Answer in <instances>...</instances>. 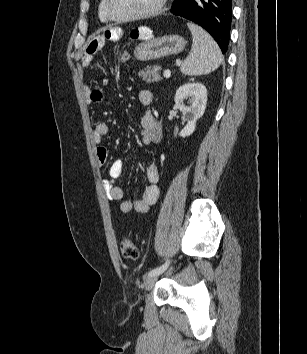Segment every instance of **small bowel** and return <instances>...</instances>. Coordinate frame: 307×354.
<instances>
[{"mask_svg": "<svg viewBox=\"0 0 307 354\" xmlns=\"http://www.w3.org/2000/svg\"><path fill=\"white\" fill-rule=\"evenodd\" d=\"M123 36L120 28H111L104 32L102 38H96L89 42L82 56L81 64L89 67L94 61L95 53L103 47L104 41H117ZM86 98L89 102H97L102 97V92L93 89L90 85L84 87ZM153 94L149 90L139 93L140 104L145 108L141 117V142L143 145H153L161 138V126L155 116L147 109L153 101ZM109 128L106 123H97L93 128V139L96 145V154L99 164L107 162V149L103 145V139L108 134ZM124 162L121 159L114 160L109 168V178L103 181V186L108 199L118 203L120 210L129 214L132 212L146 213L156 203L159 197V171L157 166L152 163L146 167L145 176L147 185L143 190L140 199L135 201L123 199V191L117 185V179L122 175Z\"/></svg>", "mask_w": 307, "mask_h": 354, "instance_id": "1", "label": "small bowel"}]
</instances>
